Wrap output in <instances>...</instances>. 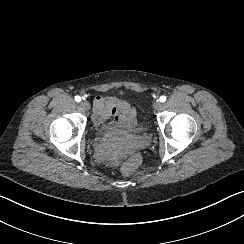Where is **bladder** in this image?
<instances>
[{"label":"bladder","mask_w":244,"mask_h":244,"mask_svg":"<svg viewBox=\"0 0 244 244\" xmlns=\"http://www.w3.org/2000/svg\"><path fill=\"white\" fill-rule=\"evenodd\" d=\"M145 129H147V128H142V131H140L138 135L139 136H145V134L147 133V132H144Z\"/></svg>","instance_id":"bladder-1"}]
</instances>
